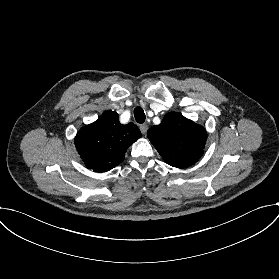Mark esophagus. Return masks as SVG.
Segmentation results:
<instances>
[{
  "instance_id": "esophagus-1",
  "label": "esophagus",
  "mask_w": 279,
  "mask_h": 279,
  "mask_svg": "<svg viewBox=\"0 0 279 279\" xmlns=\"http://www.w3.org/2000/svg\"><path fill=\"white\" fill-rule=\"evenodd\" d=\"M139 129H140L141 133H142L143 135H145L146 132H147V130H148V125H147V124H141V125L139 126Z\"/></svg>"
}]
</instances>
